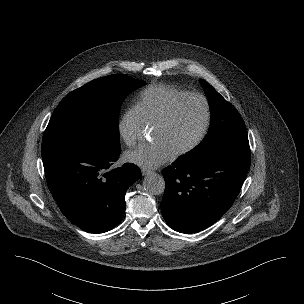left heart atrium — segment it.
I'll use <instances>...</instances> for the list:
<instances>
[{
  "instance_id": "39dd6f15",
  "label": "left heart atrium",
  "mask_w": 304,
  "mask_h": 304,
  "mask_svg": "<svg viewBox=\"0 0 304 304\" xmlns=\"http://www.w3.org/2000/svg\"><path fill=\"white\" fill-rule=\"evenodd\" d=\"M174 153L162 142L142 144L125 154V159L144 169L157 168L171 160Z\"/></svg>"
}]
</instances>
